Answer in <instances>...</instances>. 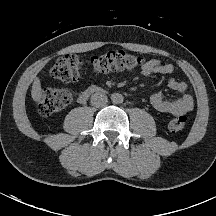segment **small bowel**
Wrapping results in <instances>:
<instances>
[{
  "label": "small bowel",
  "instance_id": "small-bowel-1",
  "mask_svg": "<svg viewBox=\"0 0 216 216\" xmlns=\"http://www.w3.org/2000/svg\"><path fill=\"white\" fill-rule=\"evenodd\" d=\"M175 71V68L170 63H163L158 59H151L146 61L141 69V73L145 76H150L153 74L161 75H172ZM168 87L178 91L181 96L168 100L165 99L162 93H156L150 98V105L152 108L158 112L170 114V115H180L186 114L193 110L194 100L192 95L189 93V86L184 81H179L174 77L168 79ZM79 102L83 103L81 98Z\"/></svg>",
  "mask_w": 216,
  "mask_h": 216
}]
</instances>
